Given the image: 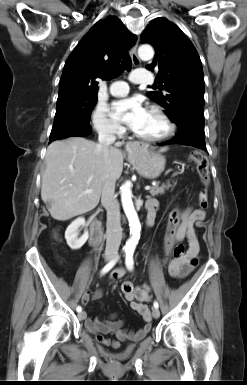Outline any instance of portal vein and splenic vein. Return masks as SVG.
<instances>
[{"instance_id":"1","label":"portal vein and splenic vein","mask_w":247,"mask_h":385,"mask_svg":"<svg viewBox=\"0 0 247 385\" xmlns=\"http://www.w3.org/2000/svg\"><path fill=\"white\" fill-rule=\"evenodd\" d=\"M145 190H150V186H146L145 187ZM92 192V190H85V193H91Z\"/></svg>"}]
</instances>
